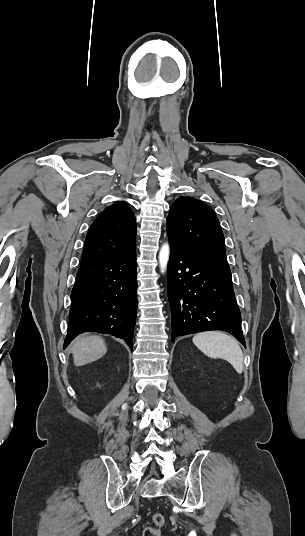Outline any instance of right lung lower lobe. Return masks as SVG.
Returning a JSON list of instances; mask_svg holds the SVG:
<instances>
[{
    "label": "right lung lower lobe",
    "mask_w": 305,
    "mask_h": 536,
    "mask_svg": "<svg viewBox=\"0 0 305 536\" xmlns=\"http://www.w3.org/2000/svg\"><path fill=\"white\" fill-rule=\"evenodd\" d=\"M71 302L64 348L78 334L96 331L121 338L132 349L137 310L135 250L81 265Z\"/></svg>",
    "instance_id": "1"
}]
</instances>
